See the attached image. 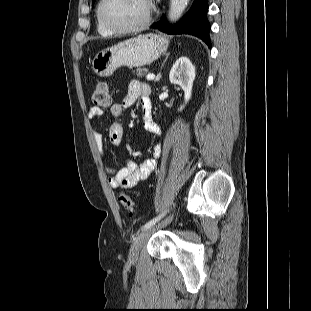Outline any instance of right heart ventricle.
Masks as SVG:
<instances>
[{
	"label": "right heart ventricle",
	"instance_id": "e07e8e85",
	"mask_svg": "<svg viewBox=\"0 0 311 311\" xmlns=\"http://www.w3.org/2000/svg\"><path fill=\"white\" fill-rule=\"evenodd\" d=\"M96 29H97V32L102 36H110L113 34V32L110 31L108 28H106L100 21L99 16H98V7L96 10Z\"/></svg>",
	"mask_w": 311,
	"mask_h": 311
}]
</instances>
